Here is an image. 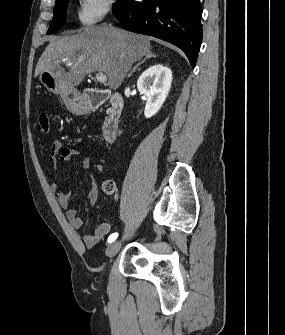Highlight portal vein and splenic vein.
<instances>
[{
  "instance_id": "1",
  "label": "portal vein and splenic vein",
  "mask_w": 285,
  "mask_h": 335,
  "mask_svg": "<svg viewBox=\"0 0 285 335\" xmlns=\"http://www.w3.org/2000/svg\"><path fill=\"white\" fill-rule=\"evenodd\" d=\"M96 80L97 82H102V84H105V82H107V76H105V74H96Z\"/></svg>"
}]
</instances>
